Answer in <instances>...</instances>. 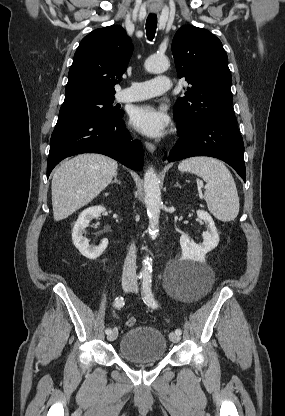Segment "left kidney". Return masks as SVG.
<instances>
[{"instance_id":"obj_1","label":"left kidney","mask_w":285,"mask_h":416,"mask_svg":"<svg viewBox=\"0 0 285 416\" xmlns=\"http://www.w3.org/2000/svg\"><path fill=\"white\" fill-rule=\"evenodd\" d=\"M197 216L200 220H204L208 226L207 232H203L202 234L204 242H202V244H195L193 240H190L187 234H182V236H180V246L182 252L187 254V256L202 258L205 254H208V252L217 248L219 244V236L216 226L207 212H204V210H197Z\"/></svg>"}]
</instances>
